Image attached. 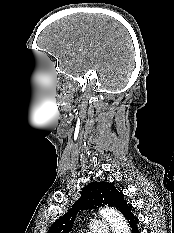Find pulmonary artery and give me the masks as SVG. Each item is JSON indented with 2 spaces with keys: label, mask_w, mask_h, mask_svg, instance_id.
Returning a JSON list of instances; mask_svg holds the SVG:
<instances>
[{
  "label": "pulmonary artery",
  "mask_w": 174,
  "mask_h": 233,
  "mask_svg": "<svg viewBox=\"0 0 174 233\" xmlns=\"http://www.w3.org/2000/svg\"><path fill=\"white\" fill-rule=\"evenodd\" d=\"M89 233H107L109 232L108 224L103 220H94L90 223Z\"/></svg>",
  "instance_id": "obj_1"
}]
</instances>
